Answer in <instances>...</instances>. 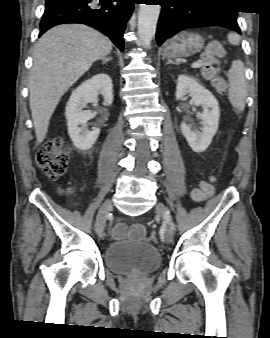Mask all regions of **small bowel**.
I'll list each match as a JSON object with an SVG mask.
<instances>
[{"mask_svg": "<svg viewBox=\"0 0 270 338\" xmlns=\"http://www.w3.org/2000/svg\"><path fill=\"white\" fill-rule=\"evenodd\" d=\"M123 233L120 226H116V228L113 231V236H119ZM132 238L136 240H143L144 239V230L141 225H135L132 229Z\"/></svg>", "mask_w": 270, "mask_h": 338, "instance_id": "small-bowel-1", "label": "small bowel"}]
</instances>
